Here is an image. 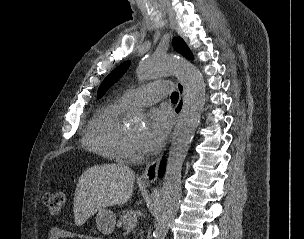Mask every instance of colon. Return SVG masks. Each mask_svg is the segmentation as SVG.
I'll return each mask as SVG.
<instances>
[{
    "label": "colon",
    "mask_w": 304,
    "mask_h": 239,
    "mask_svg": "<svg viewBox=\"0 0 304 239\" xmlns=\"http://www.w3.org/2000/svg\"><path fill=\"white\" fill-rule=\"evenodd\" d=\"M43 202L52 215H58L65 204L63 192H47L43 195Z\"/></svg>",
    "instance_id": "5ec220e1"
}]
</instances>
